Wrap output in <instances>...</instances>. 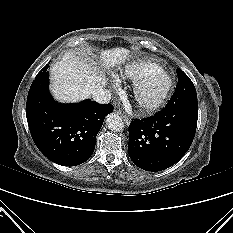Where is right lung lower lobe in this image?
Here are the masks:
<instances>
[{"label": "right lung lower lobe", "instance_id": "right-lung-lower-lobe-1", "mask_svg": "<svg viewBox=\"0 0 233 233\" xmlns=\"http://www.w3.org/2000/svg\"><path fill=\"white\" fill-rule=\"evenodd\" d=\"M48 66L32 82L26 103V117L31 136L38 149L51 161L76 166L90 158L97 133L110 104L89 99L61 104L49 92Z\"/></svg>", "mask_w": 233, "mask_h": 233}]
</instances>
